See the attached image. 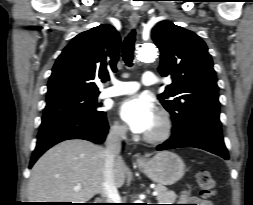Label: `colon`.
I'll return each mask as SVG.
<instances>
[{
  "label": "colon",
  "instance_id": "obj_1",
  "mask_svg": "<svg viewBox=\"0 0 253 205\" xmlns=\"http://www.w3.org/2000/svg\"><path fill=\"white\" fill-rule=\"evenodd\" d=\"M197 183L203 197L209 198L215 194V180L208 170L198 172Z\"/></svg>",
  "mask_w": 253,
  "mask_h": 205
}]
</instances>
